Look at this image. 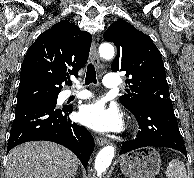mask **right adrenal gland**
<instances>
[{
	"instance_id": "right-adrenal-gland-1",
	"label": "right adrenal gland",
	"mask_w": 194,
	"mask_h": 178,
	"mask_svg": "<svg viewBox=\"0 0 194 178\" xmlns=\"http://www.w3.org/2000/svg\"><path fill=\"white\" fill-rule=\"evenodd\" d=\"M72 178H76V174H74V175L72 176Z\"/></svg>"
}]
</instances>
